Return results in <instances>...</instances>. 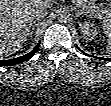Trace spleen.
Segmentation results:
<instances>
[{
  "mask_svg": "<svg viewBox=\"0 0 111 106\" xmlns=\"http://www.w3.org/2000/svg\"><path fill=\"white\" fill-rule=\"evenodd\" d=\"M102 31L108 37L107 51L111 53V19L103 22Z\"/></svg>",
  "mask_w": 111,
  "mask_h": 106,
  "instance_id": "3e777b00",
  "label": "spleen"
}]
</instances>
